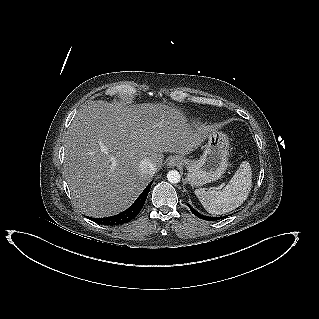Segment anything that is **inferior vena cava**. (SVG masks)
<instances>
[{"instance_id":"inferior-vena-cava-1","label":"inferior vena cava","mask_w":319,"mask_h":319,"mask_svg":"<svg viewBox=\"0 0 319 319\" xmlns=\"http://www.w3.org/2000/svg\"><path fill=\"white\" fill-rule=\"evenodd\" d=\"M140 171L143 174L154 175L157 168L156 165L148 158H144L139 165Z\"/></svg>"}]
</instances>
